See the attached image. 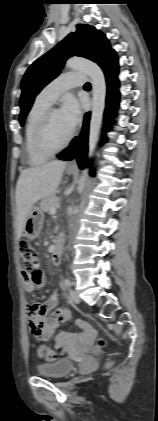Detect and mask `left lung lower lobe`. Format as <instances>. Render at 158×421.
Masks as SVG:
<instances>
[{"instance_id":"0a47b994","label":"left lung lower lobe","mask_w":158,"mask_h":421,"mask_svg":"<svg viewBox=\"0 0 158 421\" xmlns=\"http://www.w3.org/2000/svg\"><path fill=\"white\" fill-rule=\"evenodd\" d=\"M100 67L103 69L107 86V106L105 110V129L112 124L111 118L115 115L117 102L119 101L118 86V57L113 51L101 63ZM90 113L85 114L84 125L79 137H75L71 142L70 147L59 153L57 157L60 160H72L76 157L79 167L83 169L87 163V141H88V127H89Z\"/></svg>"}]
</instances>
